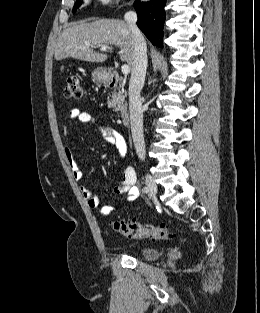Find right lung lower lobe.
Returning <instances> with one entry per match:
<instances>
[{"label":"right lung lower lobe","instance_id":"1","mask_svg":"<svg viewBox=\"0 0 260 313\" xmlns=\"http://www.w3.org/2000/svg\"><path fill=\"white\" fill-rule=\"evenodd\" d=\"M164 6L165 0L136 1L134 3L138 15L137 26L157 47H163Z\"/></svg>","mask_w":260,"mask_h":313}]
</instances>
